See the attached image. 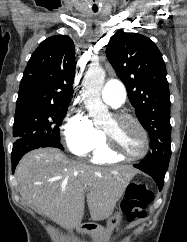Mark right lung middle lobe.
Masks as SVG:
<instances>
[{
  "instance_id": "right-lung-middle-lobe-1",
  "label": "right lung middle lobe",
  "mask_w": 187,
  "mask_h": 242,
  "mask_svg": "<svg viewBox=\"0 0 187 242\" xmlns=\"http://www.w3.org/2000/svg\"><path fill=\"white\" fill-rule=\"evenodd\" d=\"M67 107H16L13 136L60 142V129Z\"/></svg>"
}]
</instances>
